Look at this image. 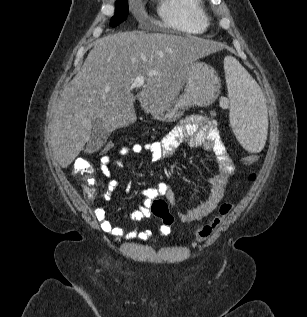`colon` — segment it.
I'll return each instance as SVG.
<instances>
[{"mask_svg": "<svg viewBox=\"0 0 307 317\" xmlns=\"http://www.w3.org/2000/svg\"><path fill=\"white\" fill-rule=\"evenodd\" d=\"M224 103H226L224 101ZM124 147H119L114 143H106L100 150L101 155L113 156L119 154ZM245 165H254L258 162V157L254 155L246 156L242 159ZM74 173L85 181L84 193L87 199L92 200L96 195L94 188V181L92 179L93 167L91 163L85 158H79L74 163ZM257 177L256 172L249 174V179L254 181ZM233 208L232 201L222 203L218 209V213L208 223L202 225L195 234V240L198 242L208 239L221 225L223 220L231 212ZM151 211L153 215L159 218L163 225L171 227L174 223V217L171 214L168 204L163 199H154L151 204Z\"/></svg>", "mask_w": 307, "mask_h": 317, "instance_id": "obj_1", "label": "colon"}]
</instances>
